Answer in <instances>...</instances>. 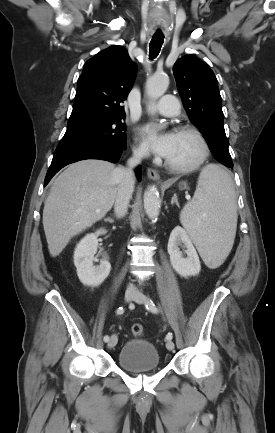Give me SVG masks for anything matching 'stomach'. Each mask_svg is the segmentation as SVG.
I'll use <instances>...</instances> for the list:
<instances>
[{
  "instance_id": "0dacf381",
  "label": "stomach",
  "mask_w": 275,
  "mask_h": 433,
  "mask_svg": "<svg viewBox=\"0 0 275 433\" xmlns=\"http://www.w3.org/2000/svg\"><path fill=\"white\" fill-rule=\"evenodd\" d=\"M179 188L181 189V190H185V189H187V184L186 183H180V186H179Z\"/></svg>"
}]
</instances>
